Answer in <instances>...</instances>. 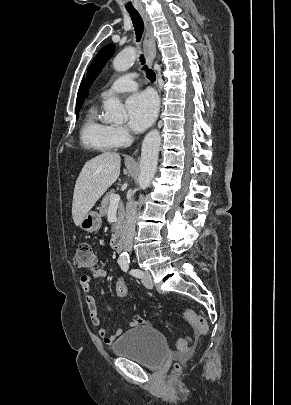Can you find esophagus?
Listing matches in <instances>:
<instances>
[{
	"mask_svg": "<svg viewBox=\"0 0 291 405\" xmlns=\"http://www.w3.org/2000/svg\"><path fill=\"white\" fill-rule=\"evenodd\" d=\"M140 15L142 16L145 27H146V33L143 41V49H144V54L146 61L150 67H152L155 54H154V45H155V38H154V29L152 22L148 16V14L145 11H140ZM139 151V149H136L134 151V154H136Z\"/></svg>",
	"mask_w": 291,
	"mask_h": 405,
	"instance_id": "esophagus-1",
	"label": "esophagus"
}]
</instances>
